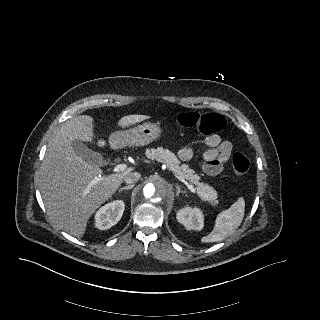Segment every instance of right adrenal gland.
Here are the masks:
<instances>
[{"instance_id":"1","label":"right adrenal gland","mask_w":320,"mask_h":320,"mask_svg":"<svg viewBox=\"0 0 320 320\" xmlns=\"http://www.w3.org/2000/svg\"><path fill=\"white\" fill-rule=\"evenodd\" d=\"M133 187H134V184L128 185V186H126V187L120 188V189H119V192L121 193L123 190H130V189H132Z\"/></svg>"}]
</instances>
